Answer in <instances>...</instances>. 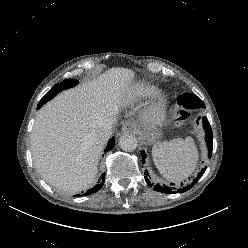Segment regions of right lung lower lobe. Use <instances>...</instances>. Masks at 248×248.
Masks as SVG:
<instances>
[{
    "mask_svg": "<svg viewBox=\"0 0 248 248\" xmlns=\"http://www.w3.org/2000/svg\"><path fill=\"white\" fill-rule=\"evenodd\" d=\"M42 105H43V104L39 103L38 106H37V108L39 109ZM114 144H115V139L112 138V139L108 142V145H107V147H106V151L111 150V149L113 148ZM103 176H104V175H103ZM103 184H104V179L102 180L101 184L96 185L94 188L88 190L84 195L86 196V195H90V194H93V193L97 192V191L103 186Z\"/></svg>",
    "mask_w": 248,
    "mask_h": 248,
    "instance_id": "1",
    "label": "right lung lower lobe"
}]
</instances>
